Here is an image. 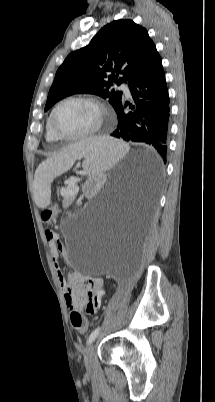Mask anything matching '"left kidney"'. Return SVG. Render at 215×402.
Instances as JSON below:
<instances>
[{"label": "left kidney", "instance_id": "left-kidney-1", "mask_svg": "<svg viewBox=\"0 0 215 402\" xmlns=\"http://www.w3.org/2000/svg\"><path fill=\"white\" fill-rule=\"evenodd\" d=\"M106 175L104 169H97L93 175H90L86 180V184L83 185L84 193H97L98 187L103 186V179Z\"/></svg>", "mask_w": 215, "mask_h": 402}]
</instances>
